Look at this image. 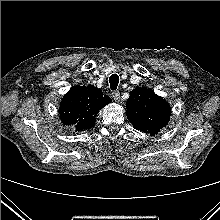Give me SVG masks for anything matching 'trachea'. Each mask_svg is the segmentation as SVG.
<instances>
[{
  "mask_svg": "<svg viewBox=\"0 0 220 220\" xmlns=\"http://www.w3.org/2000/svg\"><path fill=\"white\" fill-rule=\"evenodd\" d=\"M109 83H110V88L112 90H115L118 86V83H119V77L117 74H113L110 76L109 78Z\"/></svg>",
  "mask_w": 220,
  "mask_h": 220,
  "instance_id": "trachea-1",
  "label": "trachea"
}]
</instances>
